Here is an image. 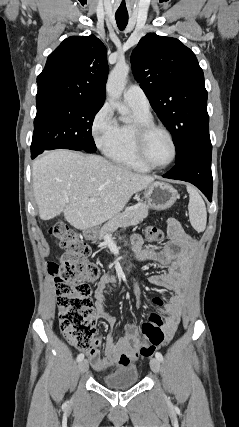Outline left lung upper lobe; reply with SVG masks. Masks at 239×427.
Masks as SVG:
<instances>
[{
    "label": "left lung upper lobe",
    "instance_id": "5c2ea615",
    "mask_svg": "<svg viewBox=\"0 0 239 427\" xmlns=\"http://www.w3.org/2000/svg\"><path fill=\"white\" fill-rule=\"evenodd\" d=\"M131 63L135 79L173 136L175 163L211 145L207 91L195 54L176 38L148 33L133 50Z\"/></svg>",
    "mask_w": 239,
    "mask_h": 427
}]
</instances>
